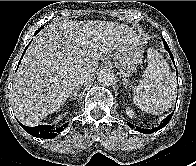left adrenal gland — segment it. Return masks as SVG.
I'll return each instance as SVG.
<instances>
[{"label":"left adrenal gland","mask_w":196,"mask_h":166,"mask_svg":"<svg viewBox=\"0 0 196 166\" xmlns=\"http://www.w3.org/2000/svg\"><path fill=\"white\" fill-rule=\"evenodd\" d=\"M122 80H123L124 85H129L130 86V82L127 78H123Z\"/></svg>","instance_id":"left-adrenal-gland-1"}]
</instances>
